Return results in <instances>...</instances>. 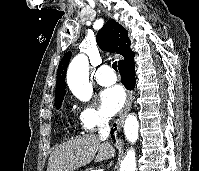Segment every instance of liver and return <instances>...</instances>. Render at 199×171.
Masks as SVG:
<instances>
[{
	"mask_svg": "<svg viewBox=\"0 0 199 171\" xmlns=\"http://www.w3.org/2000/svg\"><path fill=\"white\" fill-rule=\"evenodd\" d=\"M114 156L115 149L110 143L86 134L59 145L49 157L47 171H75L94 158L95 162H101Z\"/></svg>",
	"mask_w": 199,
	"mask_h": 171,
	"instance_id": "liver-1",
	"label": "liver"
}]
</instances>
